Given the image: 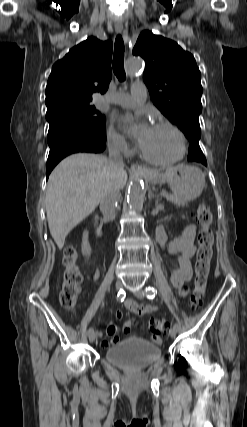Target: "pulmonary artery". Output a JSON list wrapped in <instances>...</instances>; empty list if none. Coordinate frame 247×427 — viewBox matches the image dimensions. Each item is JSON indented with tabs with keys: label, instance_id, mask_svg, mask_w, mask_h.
Returning <instances> with one entry per match:
<instances>
[{
	"label": "pulmonary artery",
	"instance_id": "1",
	"mask_svg": "<svg viewBox=\"0 0 247 427\" xmlns=\"http://www.w3.org/2000/svg\"><path fill=\"white\" fill-rule=\"evenodd\" d=\"M147 97L146 87L142 83H135L132 85L131 93H121L113 99H110V102L123 106V107H135L142 105Z\"/></svg>",
	"mask_w": 247,
	"mask_h": 427
}]
</instances>
